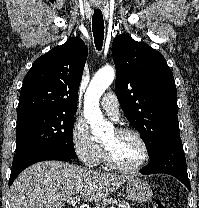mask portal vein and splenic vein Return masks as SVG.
Listing matches in <instances>:
<instances>
[{"label":"portal vein and splenic vein","mask_w":199,"mask_h":208,"mask_svg":"<svg viewBox=\"0 0 199 208\" xmlns=\"http://www.w3.org/2000/svg\"><path fill=\"white\" fill-rule=\"evenodd\" d=\"M66 201H67V203H69V204H74V203H75V198H74V197H73V198H69V199H67Z\"/></svg>","instance_id":"obj_1"}]
</instances>
